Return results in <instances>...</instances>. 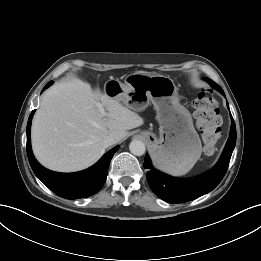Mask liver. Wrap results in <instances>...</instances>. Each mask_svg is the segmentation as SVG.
Returning a JSON list of instances; mask_svg holds the SVG:
<instances>
[{
  "label": "liver",
  "instance_id": "1",
  "mask_svg": "<svg viewBox=\"0 0 261 261\" xmlns=\"http://www.w3.org/2000/svg\"><path fill=\"white\" fill-rule=\"evenodd\" d=\"M106 109L103 116L96 104ZM137 113L79 79L60 82L43 95L32 122V149L46 168L59 172L83 170L105 152L103 139L115 143L143 125Z\"/></svg>",
  "mask_w": 261,
  "mask_h": 261
}]
</instances>
